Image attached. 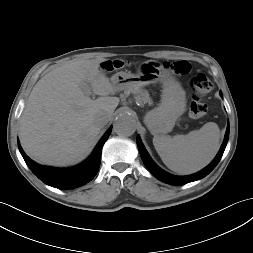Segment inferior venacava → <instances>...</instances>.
<instances>
[{
    "instance_id": "inferior-vena-cava-1",
    "label": "inferior vena cava",
    "mask_w": 253,
    "mask_h": 253,
    "mask_svg": "<svg viewBox=\"0 0 253 253\" xmlns=\"http://www.w3.org/2000/svg\"><path fill=\"white\" fill-rule=\"evenodd\" d=\"M108 121H109V116L105 113L99 114L95 118V123L100 127H103L104 125H106Z\"/></svg>"
}]
</instances>
